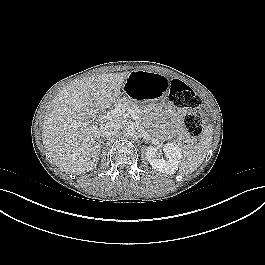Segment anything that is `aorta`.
Returning a JSON list of instances; mask_svg holds the SVG:
<instances>
[{
	"label": "aorta",
	"instance_id": "1",
	"mask_svg": "<svg viewBox=\"0 0 265 265\" xmlns=\"http://www.w3.org/2000/svg\"><path fill=\"white\" fill-rule=\"evenodd\" d=\"M123 134L127 137H132L135 134V128L131 124H126L123 127Z\"/></svg>",
	"mask_w": 265,
	"mask_h": 265
}]
</instances>
